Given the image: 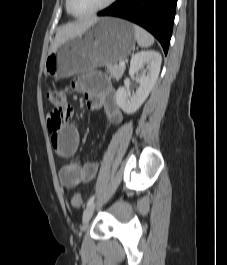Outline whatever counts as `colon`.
Segmentation results:
<instances>
[{
  "label": "colon",
  "instance_id": "obj_1",
  "mask_svg": "<svg viewBox=\"0 0 227 265\" xmlns=\"http://www.w3.org/2000/svg\"><path fill=\"white\" fill-rule=\"evenodd\" d=\"M46 96L54 107L47 118L49 131L54 134L69 121L72 115V108L67 103L65 94L61 91L49 90ZM71 204L76 208H80L83 204L82 196L79 193L74 194L71 199Z\"/></svg>",
  "mask_w": 227,
  "mask_h": 265
}]
</instances>
